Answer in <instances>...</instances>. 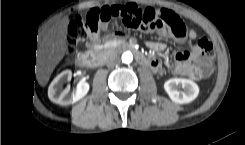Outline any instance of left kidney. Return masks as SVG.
Instances as JSON below:
<instances>
[{
    "mask_svg": "<svg viewBox=\"0 0 245 145\" xmlns=\"http://www.w3.org/2000/svg\"><path fill=\"white\" fill-rule=\"evenodd\" d=\"M181 88L183 90H181ZM164 89L170 99L179 104H188L192 102L199 93L196 83L188 79L172 78L164 83Z\"/></svg>",
    "mask_w": 245,
    "mask_h": 145,
    "instance_id": "1",
    "label": "left kidney"
}]
</instances>
